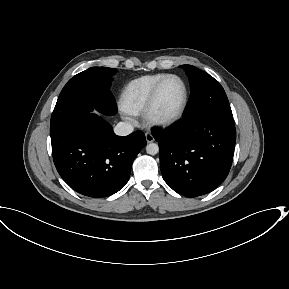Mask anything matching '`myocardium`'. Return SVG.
<instances>
[{"label":"myocardium","instance_id":"obj_1","mask_svg":"<svg viewBox=\"0 0 289 289\" xmlns=\"http://www.w3.org/2000/svg\"><path fill=\"white\" fill-rule=\"evenodd\" d=\"M172 78L179 80L183 85L184 98H183L182 104L180 108L178 109V111L174 113L173 115L166 116V117L159 116L156 113V105H157V100L159 97L160 90L162 86L164 85V83ZM188 102H189V88H188L186 81L179 75L168 74L165 77H163L153 88L143 111L144 120L146 121L147 124L151 126H157V127L170 126L182 118V116L184 115L186 111Z\"/></svg>","mask_w":289,"mask_h":289}]
</instances>
